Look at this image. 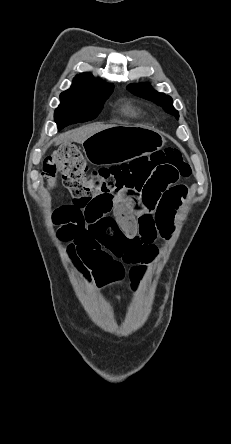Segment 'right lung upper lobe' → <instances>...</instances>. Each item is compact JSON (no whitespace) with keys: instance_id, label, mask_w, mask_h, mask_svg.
Instances as JSON below:
<instances>
[{"instance_id":"right-lung-upper-lobe-1","label":"right lung upper lobe","mask_w":231,"mask_h":444,"mask_svg":"<svg viewBox=\"0 0 231 444\" xmlns=\"http://www.w3.org/2000/svg\"><path fill=\"white\" fill-rule=\"evenodd\" d=\"M114 87L100 79H95L91 73L85 72L77 75L71 88L66 92L75 93H98Z\"/></svg>"}]
</instances>
